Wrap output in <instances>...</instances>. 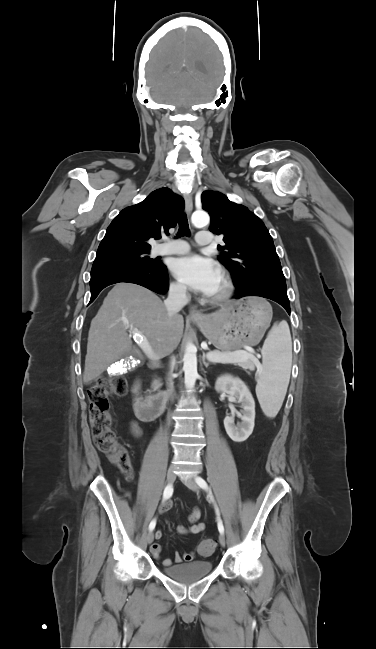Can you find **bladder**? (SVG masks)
<instances>
[{
	"label": "bladder",
	"mask_w": 376,
	"mask_h": 649,
	"mask_svg": "<svg viewBox=\"0 0 376 649\" xmlns=\"http://www.w3.org/2000/svg\"><path fill=\"white\" fill-rule=\"evenodd\" d=\"M213 570L212 563L209 561H193L179 565H172L164 568L162 571L171 579L181 583H193L198 581Z\"/></svg>",
	"instance_id": "31cf9c89"
}]
</instances>
